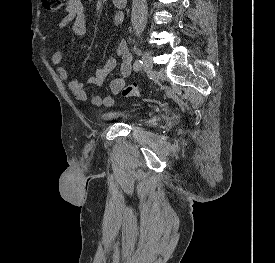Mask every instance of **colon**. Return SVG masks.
Wrapping results in <instances>:
<instances>
[{"mask_svg": "<svg viewBox=\"0 0 275 263\" xmlns=\"http://www.w3.org/2000/svg\"><path fill=\"white\" fill-rule=\"evenodd\" d=\"M67 0H43V6L46 11L56 13L60 11ZM122 95L124 97H140L142 96L141 91L136 85H127L122 89Z\"/></svg>", "mask_w": 275, "mask_h": 263, "instance_id": "1", "label": "colon"}]
</instances>
